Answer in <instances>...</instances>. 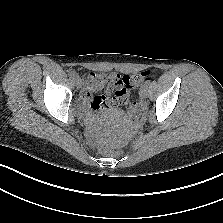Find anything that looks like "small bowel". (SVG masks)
<instances>
[{
  "instance_id": "c3829d8e",
  "label": "small bowel",
  "mask_w": 223,
  "mask_h": 223,
  "mask_svg": "<svg viewBox=\"0 0 223 223\" xmlns=\"http://www.w3.org/2000/svg\"><path fill=\"white\" fill-rule=\"evenodd\" d=\"M117 74L96 72L91 73L86 81V86L81 95V108L85 109L90 106L91 111L86 112V118L94 120L100 112L116 111L121 104L119 97L115 95V89L112 81ZM104 90V93L96 94L95 92ZM113 94V95H112Z\"/></svg>"
}]
</instances>
